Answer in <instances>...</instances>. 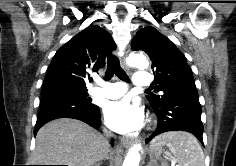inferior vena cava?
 <instances>
[{
	"instance_id": "obj_1",
	"label": "inferior vena cava",
	"mask_w": 236,
	"mask_h": 166,
	"mask_svg": "<svg viewBox=\"0 0 236 166\" xmlns=\"http://www.w3.org/2000/svg\"><path fill=\"white\" fill-rule=\"evenodd\" d=\"M105 136H106V138H105V139H106V142H107V144H108V146H109V138H110L111 136H110L109 134H106Z\"/></svg>"
}]
</instances>
